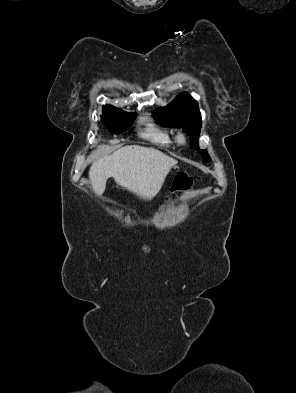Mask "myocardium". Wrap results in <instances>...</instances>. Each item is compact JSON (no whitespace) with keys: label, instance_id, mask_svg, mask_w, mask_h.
I'll use <instances>...</instances> for the list:
<instances>
[{"label":"myocardium","instance_id":"myocardium-1","mask_svg":"<svg viewBox=\"0 0 296 393\" xmlns=\"http://www.w3.org/2000/svg\"><path fill=\"white\" fill-rule=\"evenodd\" d=\"M177 139H178L179 143L183 144L186 142L187 137L184 133H179L177 136Z\"/></svg>","mask_w":296,"mask_h":393}]
</instances>
